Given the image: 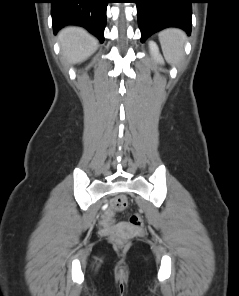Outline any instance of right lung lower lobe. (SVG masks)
<instances>
[{"instance_id": "obj_1", "label": "right lung lower lobe", "mask_w": 239, "mask_h": 296, "mask_svg": "<svg viewBox=\"0 0 239 296\" xmlns=\"http://www.w3.org/2000/svg\"><path fill=\"white\" fill-rule=\"evenodd\" d=\"M54 33L66 25H79L104 41L108 0H50Z\"/></svg>"}]
</instances>
